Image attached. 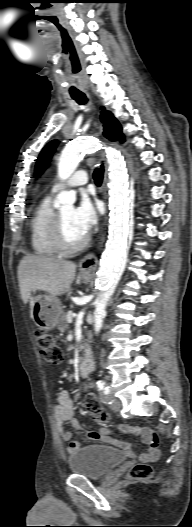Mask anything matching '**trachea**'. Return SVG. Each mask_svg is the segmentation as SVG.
<instances>
[{"label": "trachea", "instance_id": "1", "mask_svg": "<svg viewBox=\"0 0 192 527\" xmlns=\"http://www.w3.org/2000/svg\"><path fill=\"white\" fill-rule=\"evenodd\" d=\"M71 97L80 105H84L88 101L85 94L83 93L71 95ZM93 176H94L95 183L97 185H100L103 179V167L95 169Z\"/></svg>", "mask_w": 192, "mask_h": 527}]
</instances>
